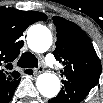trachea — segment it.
I'll list each match as a JSON object with an SVG mask.
<instances>
[{
  "mask_svg": "<svg viewBox=\"0 0 103 103\" xmlns=\"http://www.w3.org/2000/svg\"><path fill=\"white\" fill-rule=\"evenodd\" d=\"M18 66L22 68H33L38 67V60L30 52H25L22 54L21 58L18 61Z\"/></svg>",
  "mask_w": 103,
  "mask_h": 103,
  "instance_id": "1",
  "label": "trachea"
}]
</instances>
